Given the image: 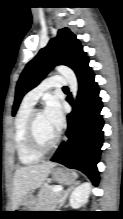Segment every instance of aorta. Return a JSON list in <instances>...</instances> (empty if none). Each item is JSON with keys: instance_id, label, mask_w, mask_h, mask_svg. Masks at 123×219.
I'll use <instances>...</instances> for the list:
<instances>
[{"instance_id": "aorta-1", "label": "aorta", "mask_w": 123, "mask_h": 219, "mask_svg": "<svg viewBox=\"0 0 123 219\" xmlns=\"http://www.w3.org/2000/svg\"><path fill=\"white\" fill-rule=\"evenodd\" d=\"M56 71L59 72L68 82L70 91L75 99L78 92V81L74 71L67 66H57Z\"/></svg>"}]
</instances>
